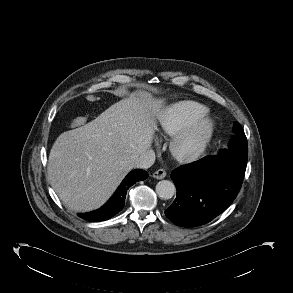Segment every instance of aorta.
I'll return each instance as SVG.
<instances>
[{"mask_svg":"<svg viewBox=\"0 0 293 293\" xmlns=\"http://www.w3.org/2000/svg\"><path fill=\"white\" fill-rule=\"evenodd\" d=\"M175 192V185L169 180L159 181L156 185V193L161 199H171L174 196Z\"/></svg>","mask_w":293,"mask_h":293,"instance_id":"1","label":"aorta"}]
</instances>
